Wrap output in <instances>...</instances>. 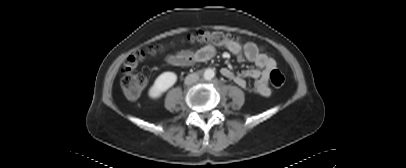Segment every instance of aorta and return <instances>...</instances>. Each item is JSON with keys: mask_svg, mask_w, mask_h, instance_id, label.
Here are the masks:
<instances>
[{"mask_svg": "<svg viewBox=\"0 0 406 168\" xmlns=\"http://www.w3.org/2000/svg\"><path fill=\"white\" fill-rule=\"evenodd\" d=\"M214 76H215V72H214L213 69L208 68V69L205 70V72H204V78H205L206 80H211Z\"/></svg>", "mask_w": 406, "mask_h": 168, "instance_id": "762f6f07", "label": "aorta"}]
</instances>
